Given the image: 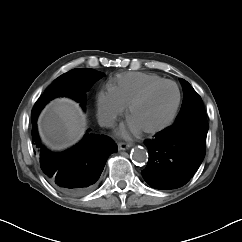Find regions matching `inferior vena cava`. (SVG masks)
<instances>
[{"label": "inferior vena cava", "instance_id": "602c4592", "mask_svg": "<svg viewBox=\"0 0 242 242\" xmlns=\"http://www.w3.org/2000/svg\"><path fill=\"white\" fill-rule=\"evenodd\" d=\"M104 126H111L113 124V121L111 119L103 120Z\"/></svg>", "mask_w": 242, "mask_h": 242}]
</instances>
